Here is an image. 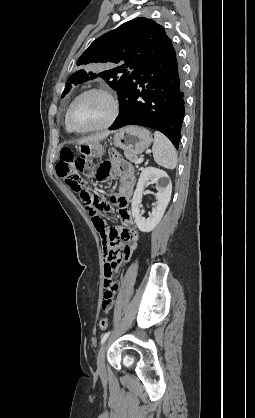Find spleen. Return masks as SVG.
<instances>
[{
	"label": "spleen",
	"mask_w": 255,
	"mask_h": 418,
	"mask_svg": "<svg viewBox=\"0 0 255 418\" xmlns=\"http://www.w3.org/2000/svg\"><path fill=\"white\" fill-rule=\"evenodd\" d=\"M154 161L161 167L175 169L177 166V154L171 141L159 131L154 133L152 147Z\"/></svg>",
	"instance_id": "spleen-1"
}]
</instances>
